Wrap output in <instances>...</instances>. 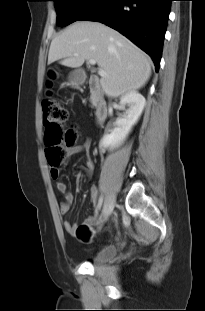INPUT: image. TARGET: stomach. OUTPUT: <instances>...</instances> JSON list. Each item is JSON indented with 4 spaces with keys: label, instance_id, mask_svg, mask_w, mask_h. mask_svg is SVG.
<instances>
[{
    "label": "stomach",
    "instance_id": "0dacf381",
    "mask_svg": "<svg viewBox=\"0 0 205 311\" xmlns=\"http://www.w3.org/2000/svg\"><path fill=\"white\" fill-rule=\"evenodd\" d=\"M71 81L75 84H80L83 81V78L80 77L77 73H73L71 76Z\"/></svg>",
    "mask_w": 205,
    "mask_h": 311
}]
</instances>
